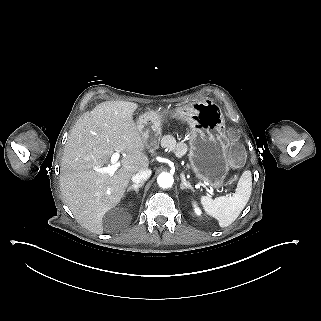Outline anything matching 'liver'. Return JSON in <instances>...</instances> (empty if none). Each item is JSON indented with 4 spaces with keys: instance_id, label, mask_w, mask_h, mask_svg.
Listing matches in <instances>:
<instances>
[{
    "instance_id": "1",
    "label": "liver",
    "mask_w": 321,
    "mask_h": 321,
    "mask_svg": "<svg viewBox=\"0 0 321 321\" xmlns=\"http://www.w3.org/2000/svg\"><path fill=\"white\" fill-rule=\"evenodd\" d=\"M139 103L105 101L73 126L61 160L60 190L79 224L104 233L106 213L122 200L131 177L149 169L147 140L134 119ZM114 150L126 152L113 174L95 168L109 164Z\"/></svg>"
}]
</instances>
